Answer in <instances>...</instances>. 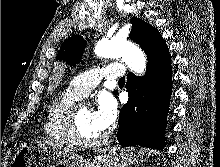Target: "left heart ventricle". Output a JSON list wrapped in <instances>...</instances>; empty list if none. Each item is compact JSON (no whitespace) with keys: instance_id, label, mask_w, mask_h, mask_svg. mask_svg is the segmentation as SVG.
<instances>
[{"instance_id":"obj_1","label":"left heart ventricle","mask_w":220,"mask_h":167,"mask_svg":"<svg viewBox=\"0 0 220 167\" xmlns=\"http://www.w3.org/2000/svg\"><path fill=\"white\" fill-rule=\"evenodd\" d=\"M77 123L79 133L85 140L98 139L105 133L96 126L91 116V110L85 105L78 108Z\"/></svg>"}]
</instances>
